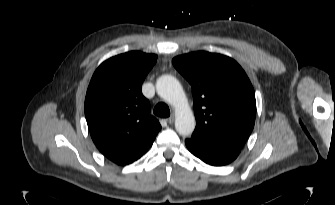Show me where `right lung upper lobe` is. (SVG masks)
I'll return each mask as SVG.
<instances>
[{"label": "right lung upper lobe", "mask_w": 335, "mask_h": 205, "mask_svg": "<svg viewBox=\"0 0 335 205\" xmlns=\"http://www.w3.org/2000/svg\"><path fill=\"white\" fill-rule=\"evenodd\" d=\"M157 55L131 51L109 58L95 71L85 98L93 142L111 161L126 165L140 158L161 129L150 114L141 85Z\"/></svg>", "instance_id": "right-lung-upper-lobe-1"}]
</instances>
